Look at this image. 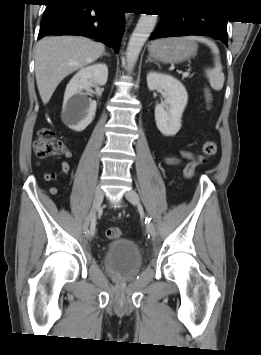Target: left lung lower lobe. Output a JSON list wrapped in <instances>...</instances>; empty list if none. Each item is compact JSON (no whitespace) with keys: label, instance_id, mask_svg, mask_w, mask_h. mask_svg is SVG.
Wrapping results in <instances>:
<instances>
[{"label":"left lung lower lobe","instance_id":"0a47b994","mask_svg":"<svg viewBox=\"0 0 261 355\" xmlns=\"http://www.w3.org/2000/svg\"><path fill=\"white\" fill-rule=\"evenodd\" d=\"M184 35L211 36L228 46L227 21L223 19L161 15L158 27L151 34L150 39Z\"/></svg>","mask_w":261,"mask_h":355}]
</instances>
